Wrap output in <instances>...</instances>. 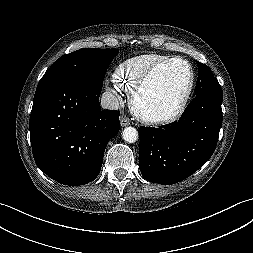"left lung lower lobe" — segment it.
I'll list each match as a JSON object with an SVG mask.
<instances>
[{
    "label": "left lung lower lobe",
    "mask_w": 253,
    "mask_h": 253,
    "mask_svg": "<svg viewBox=\"0 0 253 253\" xmlns=\"http://www.w3.org/2000/svg\"><path fill=\"white\" fill-rule=\"evenodd\" d=\"M222 99L223 95H198L178 121L159 128L140 127L139 166L146 180L178 183L209 160L222 125Z\"/></svg>",
    "instance_id": "1"
}]
</instances>
